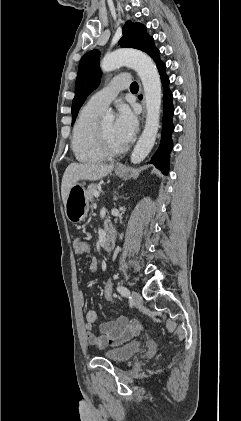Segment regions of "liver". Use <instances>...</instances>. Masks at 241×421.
Instances as JSON below:
<instances>
[{
  "label": "liver",
  "mask_w": 241,
  "mask_h": 421,
  "mask_svg": "<svg viewBox=\"0 0 241 421\" xmlns=\"http://www.w3.org/2000/svg\"><path fill=\"white\" fill-rule=\"evenodd\" d=\"M114 169L113 164L71 163L66 168L61 184V195L65 205L70 188L80 180L96 181Z\"/></svg>",
  "instance_id": "obj_1"
}]
</instances>
